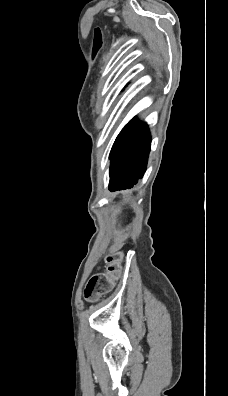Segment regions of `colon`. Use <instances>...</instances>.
Wrapping results in <instances>:
<instances>
[{
    "instance_id": "5ec220e1",
    "label": "colon",
    "mask_w": 228,
    "mask_h": 396,
    "mask_svg": "<svg viewBox=\"0 0 228 396\" xmlns=\"http://www.w3.org/2000/svg\"><path fill=\"white\" fill-rule=\"evenodd\" d=\"M122 253L116 245L106 256V270L94 274L84 290L86 300L93 301L106 294L119 278L121 273Z\"/></svg>"
}]
</instances>
